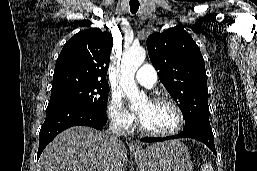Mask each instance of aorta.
Returning a JSON list of instances; mask_svg holds the SVG:
<instances>
[{"instance_id":"obj_1","label":"aorta","mask_w":257,"mask_h":171,"mask_svg":"<svg viewBox=\"0 0 257 171\" xmlns=\"http://www.w3.org/2000/svg\"><path fill=\"white\" fill-rule=\"evenodd\" d=\"M145 57L146 52L142 47H131L123 53L120 86L130 100L132 108H135L146 101V96L139 92L134 79L135 73L144 62Z\"/></svg>"}]
</instances>
